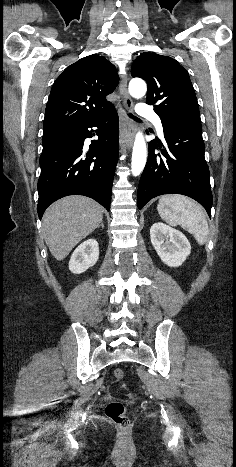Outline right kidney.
<instances>
[{"label": "right kidney", "mask_w": 236, "mask_h": 467, "mask_svg": "<svg viewBox=\"0 0 236 467\" xmlns=\"http://www.w3.org/2000/svg\"><path fill=\"white\" fill-rule=\"evenodd\" d=\"M99 258V246L95 239H88L73 252L69 261V270L80 274L94 266Z\"/></svg>", "instance_id": "right-kidney-1"}]
</instances>
